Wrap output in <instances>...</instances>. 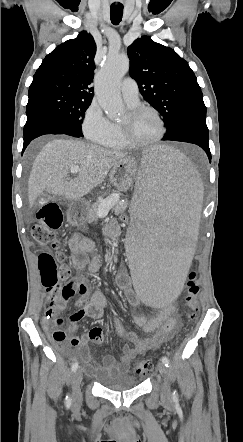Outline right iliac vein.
<instances>
[{"instance_id":"1","label":"right iliac vein","mask_w":243,"mask_h":442,"mask_svg":"<svg viewBox=\"0 0 243 442\" xmlns=\"http://www.w3.org/2000/svg\"><path fill=\"white\" fill-rule=\"evenodd\" d=\"M83 379V374L81 369L75 372L74 380L72 383V403L74 407H78L81 404L82 394L80 389V384Z\"/></svg>"}]
</instances>
